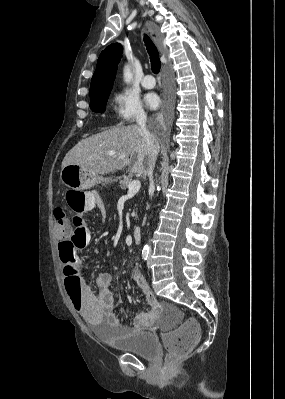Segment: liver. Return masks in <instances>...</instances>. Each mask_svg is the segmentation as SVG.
<instances>
[{
  "label": "liver",
  "mask_w": 285,
  "mask_h": 399,
  "mask_svg": "<svg viewBox=\"0 0 285 399\" xmlns=\"http://www.w3.org/2000/svg\"><path fill=\"white\" fill-rule=\"evenodd\" d=\"M157 143L158 155V140ZM149 160L143 132L138 125H128L113 127L79 141L64 157L62 168L78 165L97 176L129 166L131 172L146 175Z\"/></svg>",
  "instance_id": "6515ba94"
}]
</instances>
